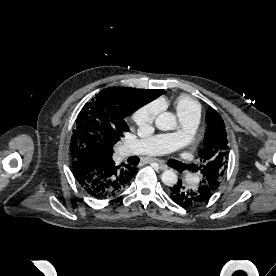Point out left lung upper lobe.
<instances>
[{"mask_svg":"<svg viewBox=\"0 0 276 276\" xmlns=\"http://www.w3.org/2000/svg\"><path fill=\"white\" fill-rule=\"evenodd\" d=\"M206 121L208 132L205 133L204 148L199 151L202 161L200 185H207L213 194L223 180L227 168L229 146L224 122L211 107L207 110Z\"/></svg>","mask_w":276,"mask_h":276,"instance_id":"obj_1","label":"left lung upper lobe"}]
</instances>
